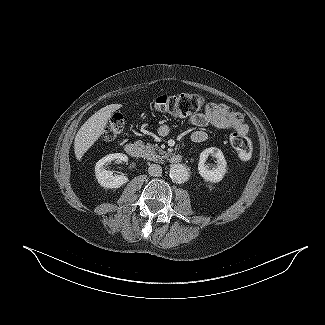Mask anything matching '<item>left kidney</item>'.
I'll use <instances>...</instances> for the list:
<instances>
[{
    "instance_id": "left-kidney-1",
    "label": "left kidney",
    "mask_w": 325,
    "mask_h": 325,
    "mask_svg": "<svg viewBox=\"0 0 325 325\" xmlns=\"http://www.w3.org/2000/svg\"><path fill=\"white\" fill-rule=\"evenodd\" d=\"M208 156H212L217 159V166L215 168L210 169L209 166L206 165L205 162ZM226 166L227 162L220 149L216 147H210L206 148L200 153L198 171L205 181L210 183L220 182L227 172Z\"/></svg>"
}]
</instances>
